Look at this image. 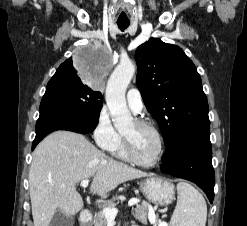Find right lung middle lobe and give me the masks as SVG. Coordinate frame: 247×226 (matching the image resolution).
<instances>
[{"instance_id":"dd1d6c3e","label":"right lung middle lobe","mask_w":247,"mask_h":226,"mask_svg":"<svg viewBox=\"0 0 247 226\" xmlns=\"http://www.w3.org/2000/svg\"><path fill=\"white\" fill-rule=\"evenodd\" d=\"M49 104L60 106L80 116L93 118L98 122L103 97L90 86H84L71 64L64 70L56 71L48 82L40 108Z\"/></svg>"}]
</instances>
